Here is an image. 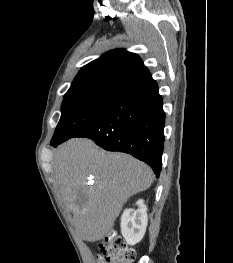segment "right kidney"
I'll use <instances>...</instances> for the list:
<instances>
[{
    "label": "right kidney",
    "mask_w": 233,
    "mask_h": 263,
    "mask_svg": "<svg viewBox=\"0 0 233 263\" xmlns=\"http://www.w3.org/2000/svg\"><path fill=\"white\" fill-rule=\"evenodd\" d=\"M136 205L138 209H126L121 216V233L129 245H135L142 240L148 223L144 201L138 200Z\"/></svg>",
    "instance_id": "ca27d5eb"
}]
</instances>
